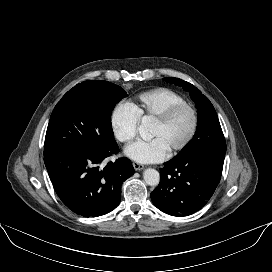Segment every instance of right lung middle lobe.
<instances>
[{
	"instance_id": "obj_1",
	"label": "right lung middle lobe",
	"mask_w": 272,
	"mask_h": 272,
	"mask_svg": "<svg viewBox=\"0 0 272 272\" xmlns=\"http://www.w3.org/2000/svg\"><path fill=\"white\" fill-rule=\"evenodd\" d=\"M125 96L124 89L108 81H85L72 88L51 114L44 156L72 144L102 148L114 143L111 111Z\"/></svg>"
}]
</instances>
